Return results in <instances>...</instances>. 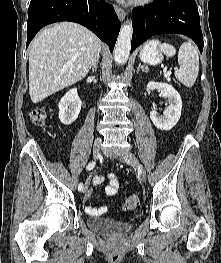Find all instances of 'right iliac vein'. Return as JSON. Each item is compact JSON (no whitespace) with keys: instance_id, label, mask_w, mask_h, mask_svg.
Masks as SVG:
<instances>
[{"instance_id":"1","label":"right iliac vein","mask_w":221,"mask_h":263,"mask_svg":"<svg viewBox=\"0 0 221 263\" xmlns=\"http://www.w3.org/2000/svg\"><path fill=\"white\" fill-rule=\"evenodd\" d=\"M100 147H101V139L96 138L93 144V159L97 160L100 154ZM89 181L86 182L85 187L83 189L84 192L87 191Z\"/></svg>"}]
</instances>
